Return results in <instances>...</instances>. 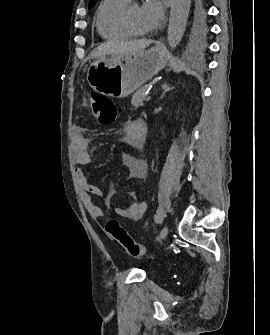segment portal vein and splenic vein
<instances>
[{"mask_svg":"<svg viewBox=\"0 0 270 335\" xmlns=\"http://www.w3.org/2000/svg\"><path fill=\"white\" fill-rule=\"evenodd\" d=\"M148 92H149V90H147V92H145V96H147ZM151 95H152V94H151ZM150 97H151V96H150ZM150 100H151V98H149V97L145 98V101H147V102H149Z\"/></svg>","mask_w":270,"mask_h":335,"instance_id":"portal-vein-and-splenic-vein-1","label":"portal vein and splenic vein"}]
</instances>
